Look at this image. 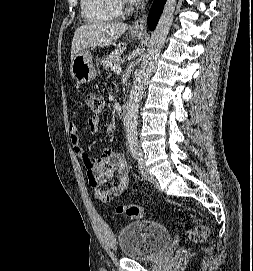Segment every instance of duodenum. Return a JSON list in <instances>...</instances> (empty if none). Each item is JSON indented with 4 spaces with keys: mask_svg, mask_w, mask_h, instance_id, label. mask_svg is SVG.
Wrapping results in <instances>:
<instances>
[{
    "mask_svg": "<svg viewBox=\"0 0 253 271\" xmlns=\"http://www.w3.org/2000/svg\"><path fill=\"white\" fill-rule=\"evenodd\" d=\"M127 114V105L126 104H122L118 110V117L120 119H124L126 117Z\"/></svg>",
    "mask_w": 253,
    "mask_h": 271,
    "instance_id": "1",
    "label": "duodenum"
}]
</instances>
